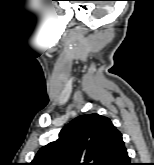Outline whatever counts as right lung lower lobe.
<instances>
[{
	"instance_id": "right-lung-lower-lobe-1",
	"label": "right lung lower lobe",
	"mask_w": 154,
	"mask_h": 165,
	"mask_svg": "<svg viewBox=\"0 0 154 165\" xmlns=\"http://www.w3.org/2000/svg\"><path fill=\"white\" fill-rule=\"evenodd\" d=\"M99 165H131L121 134L111 143Z\"/></svg>"
}]
</instances>
